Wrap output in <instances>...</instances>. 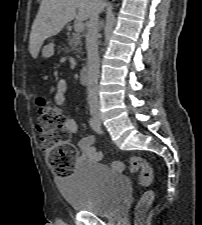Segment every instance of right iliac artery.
<instances>
[{
    "mask_svg": "<svg viewBox=\"0 0 202 225\" xmlns=\"http://www.w3.org/2000/svg\"><path fill=\"white\" fill-rule=\"evenodd\" d=\"M89 125L95 132L102 134L101 127H100L99 123L96 122V120H94L93 118H90Z\"/></svg>",
    "mask_w": 202,
    "mask_h": 225,
    "instance_id": "82829eb1",
    "label": "right iliac artery"
}]
</instances>
